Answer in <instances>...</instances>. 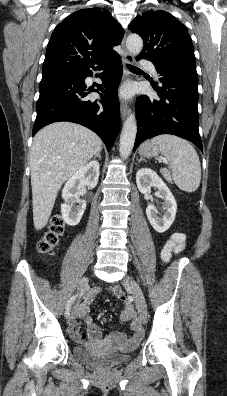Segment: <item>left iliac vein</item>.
I'll return each mask as SVG.
<instances>
[{
    "instance_id": "obj_1",
    "label": "left iliac vein",
    "mask_w": 227,
    "mask_h": 396,
    "mask_svg": "<svg viewBox=\"0 0 227 396\" xmlns=\"http://www.w3.org/2000/svg\"><path fill=\"white\" fill-rule=\"evenodd\" d=\"M123 285L132 291L136 307L139 312V317L143 323L147 320V305L143 292L138 283L130 276H126L123 280Z\"/></svg>"
}]
</instances>
